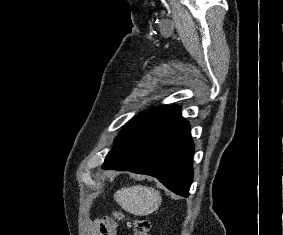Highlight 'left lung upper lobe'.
Listing matches in <instances>:
<instances>
[{
    "instance_id": "1",
    "label": "left lung upper lobe",
    "mask_w": 283,
    "mask_h": 235,
    "mask_svg": "<svg viewBox=\"0 0 283 235\" xmlns=\"http://www.w3.org/2000/svg\"><path fill=\"white\" fill-rule=\"evenodd\" d=\"M169 106H161L151 108L138 116L131 119L124 128L120 131L119 135L116 137L114 141L113 150L108 153L106 159L110 156V154L118 148L133 132H135L138 128H140L145 122H147L150 118L164 110ZM105 159V160H106Z\"/></svg>"
}]
</instances>
